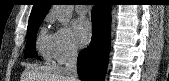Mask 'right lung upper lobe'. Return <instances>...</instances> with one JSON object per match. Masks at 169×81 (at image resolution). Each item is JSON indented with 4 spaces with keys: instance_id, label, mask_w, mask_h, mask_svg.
Wrapping results in <instances>:
<instances>
[{
    "instance_id": "1",
    "label": "right lung upper lobe",
    "mask_w": 169,
    "mask_h": 81,
    "mask_svg": "<svg viewBox=\"0 0 169 81\" xmlns=\"http://www.w3.org/2000/svg\"><path fill=\"white\" fill-rule=\"evenodd\" d=\"M51 4L52 0H34V5L29 18V23L43 20Z\"/></svg>"
}]
</instances>
